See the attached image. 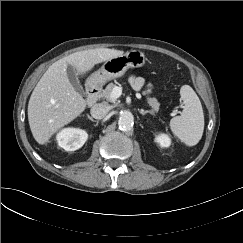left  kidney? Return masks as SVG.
Instances as JSON below:
<instances>
[{
  "mask_svg": "<svg viewBox=\"0 0 243 243\" xmlns=\"http://www.w3.org/2000/svg\"><path fill=\"white\" fill-rule=\"evenodd\" d=\"M155 141L161 146V147H169L171 144V139L166 134H159L156 136Z\"/></svg>",
  "mask_w": 243,
  "mask_h": 243,
  "instance_id": "1",
  "label": "left kidney"
}]
</instances>
